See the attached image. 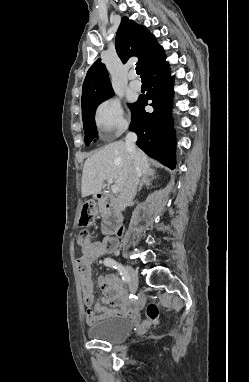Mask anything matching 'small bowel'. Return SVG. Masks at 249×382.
<instances>
[{"mask_svg":"<svg viewBox=\"0 0 249 382\" xmlns=\"http://www.w3.org/2000/svg\"><path fill=\"white\" fill-rule=\"evenodd\" d=\"M118 248L119 242L108 238L92 241L87 246L81 247L82 255L77 259L76 265L83 301L87 307L86 322L89 325L102 318L135 315L141 307L140 299L127 298L119 277L114 273L102 274L98 277L97 283L104 297L95 304L91 265L105 253L116 252Z\"/></svg>","mask_w":249,"mask_h":382,"instance_id":"small-bowel-1","label":"small bowel"}]
</instances>
